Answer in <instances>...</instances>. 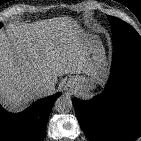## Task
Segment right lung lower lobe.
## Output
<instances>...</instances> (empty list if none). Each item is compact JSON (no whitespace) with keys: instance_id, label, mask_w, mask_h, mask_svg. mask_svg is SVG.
<instances>
[{"instance_id":"98d812e1","label":"right lung lower lobe","mask_w":141,"mask_h":141,"mask_svg":"<svg viewBox=\"0 0 141 141\" xmlns=\"http://www.w3.org/2000/svg\"><path fill=\"white\" fill-rule=\"evenodd\" d=\"M58 95L39 100L19 114L8 113L0 106V141H41Z\"/></svg>"}]
</instances>
